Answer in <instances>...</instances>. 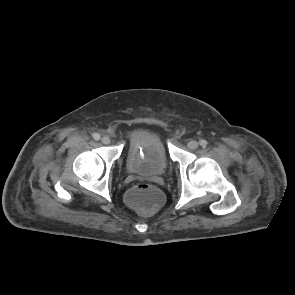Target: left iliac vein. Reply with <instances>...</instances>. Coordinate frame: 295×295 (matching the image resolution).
Returning <instances> with one entry per match:
<instances>
[{
  "instance_id": "obj_1",
  "label": "left iliac vein",
  "mask_w": 295,
  "mask_h": 295,
  "mask_svg": "<svg viewBox=\"0 0 295 295\" xmlns=\"http://www.w3.org/2000/svg\"><path fill=\"white\" fill-rule=\"evenodd\" d=\"M189 149H196L199 146V143L195 140H190L187 144Z\"/></svg>"
}]
</instances>
